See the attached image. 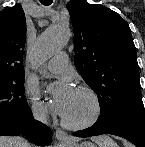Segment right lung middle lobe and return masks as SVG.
Segmentation results:
<instances>
[{"label": "right lung middle lobe", "instance_id": "dd1d6c3e", "mask_svg": "<svg viewBox=\"0 0 145 147\" xmlns=\"http://www.w3.org/2000/svg\"><path fill=\"white\" fill-rule=\"evenodd\" d=\"M24 80V75H20L0 81V120L20 117L29 110Z\"/></svg>", "mask_w": 145, "mask_h": 147}]
</instances>
